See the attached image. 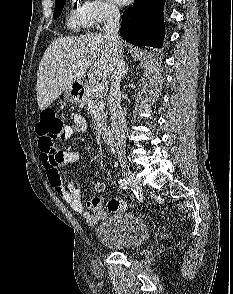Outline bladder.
<instances>
[{"label": "bladder", "instance_id": "31cf9c89", "mask_svg": "<svg viewBox=\"0 0 233 294\" xmlns=\"http://www.w3.org/2000/svg\"><path fill=\"white\" fill-rule=\"evenodd\" d=\"M97 240L105 247L130 251L150 238L148 225L132 213H118L101 222L95 230Z\"/></svg>", "mask_w": 233, "mask_h": 294}]
</instances>
